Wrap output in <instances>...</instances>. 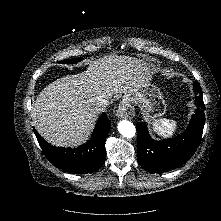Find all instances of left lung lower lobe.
Wrapping results in <instances>:
<instances>
[{
    "label": "left lung lower lobe",
    "instance_id": "0a47b994",
    "mask_svg": "<svg viewBox=\"0 0 221 221\" xmlns=\"http://www.w3.org/2000/svg\"><path fill=\"white\" fill-rule=\"evenodd\" d=\"M196 114L179 136L162 141L151 139L146 123H137V159L140 166L152 173L166 172L189 160L197 149L205 124L202 91L197 97Z\"/></svg>",
    "mask_w": 221,
    "mask_h": 221
}]
</instances>
